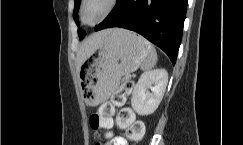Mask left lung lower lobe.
Segmentation results:
<instances>
[{"label": "left lung lower lobe", "mask_w": 243, "mask_h": 145, "mask_svg": "<svg viewBox=\"0 0 243 145\" xmlns=\"http://www.w3.org/2000/svg\"><path fill=\"white\" fill-rule=\"evenodd\" d=\"M188 0H123L95 31L120 27L135 31L176 62Z\"/></svg>", "instance_id": "1"}]
</instances>
